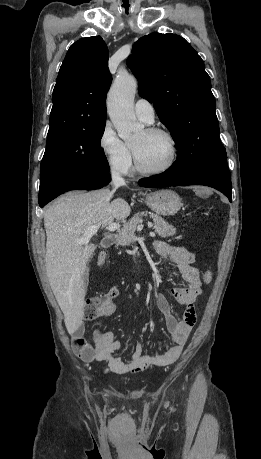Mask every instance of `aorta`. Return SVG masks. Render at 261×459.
<instances>
[{
  "mask_svg": "<svg viewBox=\"0 0 261 459\" xmlns=\"http://www.w3.org/2000/svg\"><path fill=\"white\" fill-rule=\"evenodd\" d=\"M137 81L134 77L119 74L107 96V110L118 135L124 141L137 137L144 125L136 120L134 114V98Z\"/></svg>",
  "mask_w": 261,
  "mask_h": 459,
  "instance_id": "aorta-1",
  "label": "aorta"
}]
</instances>
